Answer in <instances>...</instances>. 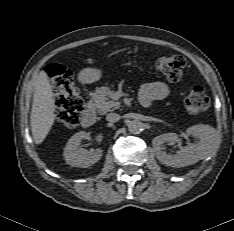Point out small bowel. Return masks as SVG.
<instances>
[{
	"label": "small bowel",
	"mask_w": 234,
	"mask_h": 231,
	"mask_svg": "<svg viewBox=\"0 0 234 231\" xmlns=\"http://www.w3.org/2000/svg\"><path fill=\"white\" fill-rule=\"evenodd\" d=\"M169 93L170 89L164 82L148 83L140 91V101L143 105H149L153 101L165 99Z\"/></svg>",
	"instance_id": "small-bowel-1"
}]
</instances>
